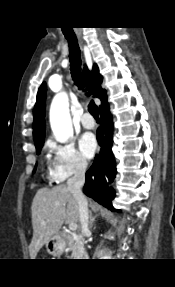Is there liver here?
Masks as SVG:
<instances>
[{
    "label": "liver",
    "mask_w": 175,
    "mask_h": 287,
    "mask_svg": "<svg viewBox=\"0 0 175 287\" xmlns=\"http://www.w3.org/2000/svg\"><path fill=\"white\" fill-rule=\"evenodd\" d=\"M33 238L29 246L31 259H35L39 250L54 235L58 234L64 223H78V204L66 185L52 189H39L32 206Z\"/></svg>",
    "instance_id": "obj_1"
}]
</instances>
